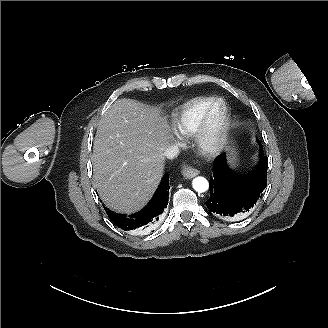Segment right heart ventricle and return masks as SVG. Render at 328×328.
I'll return each mask as SVG.
<instances>
[{
	"instance_id": "1",
	"label": "right heart ventricle",
	"mask_w": 328,
	"mask_h": 328,
	"mask_svg": "<svg viewBox=\"0 0 328 328\" xmlns=\"http://www.w3.org/2000/svg\"><path fill=\"white\" fill-rule=\"evenodd\" d=\"M215 98L216 97L213 96H200L185 102L178 111L180 118V135L178 141L190 138L196 117L201 110L209 106Z\"/></svg>"
}]
</instances>
